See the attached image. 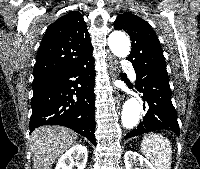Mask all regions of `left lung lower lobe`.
<instances>
[{"label":"left lung lower lobe","mask_w":200,"mask_h":169,"mask_svg":"<svg viewBox=\"0 0 200 169\" xmlns=\"http://www.w3.org/2000/svg\"><path fill=\"white\" fill-rule=\"evenodd\" d=\"M135 72L136 87L143 93V100L146 102V114L138 127L128 133L126 138L161 129L173 131L179 136L177 112L171 101L169 80L140 69H135Z\"/></svg>","instance_id":"obj_1"}]
</instances>
